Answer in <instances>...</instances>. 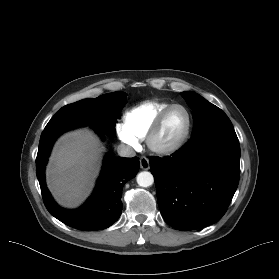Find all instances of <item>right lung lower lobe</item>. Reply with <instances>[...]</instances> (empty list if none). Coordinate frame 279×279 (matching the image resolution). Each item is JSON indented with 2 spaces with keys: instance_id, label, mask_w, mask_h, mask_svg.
Listing matches in <instances>:
<instances>
[{
  "instance_id": "obj_1",
  "label": "right lung lower lobe",
  "mask_w": 279,
  "mask_h": 279,
  "mask_svg": "<svg viewBox=\"0 0 279 279\" xmlns=\"http://www.w3.org/2000/svg\"><path fill=\"white\" fill-rule=\"evenodd\" d=\"M84 125L86 124L65 123L44 129L36 158V174L44 204L55 218L75 229L83 231L102 230L108 228L119 219L122 212L121 197L123 186L127 181L135 177L139 170L140 162L137 157L115 158L113 154L106 156L96 188L85 204L76 210H65L59 207L47 189L44 174L45 165L56 138L67 130ZM94 130L103 137V132L97 128H94Z\"/></svg>"
}]
</instances>
